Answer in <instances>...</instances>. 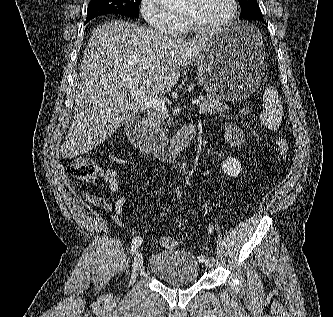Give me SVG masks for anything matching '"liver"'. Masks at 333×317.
<instances>
[{"label": "liver", "instance_id": "obj_1", "mask_svg": "<svg viewBox=\"0 0 333 317\" xmlns=\"http://www.w3.org/2000/svg\"><path fill=\"white\" fill-rule=\"evenodd\" d=\"M207 39L183 40L123 20L94 29L74 83L76 107L62 157L94 149L142 109L128 98L130 86L150 97L170 92Z\"/></svg>", "mask_w": 333, "mask_h": 317}]
</instances>
